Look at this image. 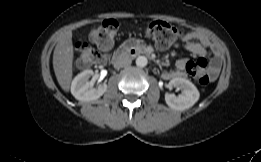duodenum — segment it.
<instances>
[{
  "mask_svg": "<svg viewBox=\"0 0 261 162\" xmlns=\"http://www.w3.org/2000/svg\"><path fill=\"white\" fill-rule=\"evenodd\" d=\"M110 61L112 62V63H117V57H114V58H112V59H110Z\"/></svg>",
  "mask_w": 261,
  "mask_h": 162,
  "instance_id": "410a0bca",
  "label": "duodenum"
}]
</instances>
